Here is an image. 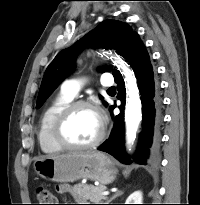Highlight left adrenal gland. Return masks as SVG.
I'll return each instance as SVG.
<instances>
[{"instance_id":"obj_1","label":"left adrenal gland","mask_w":200,"mask_h":205,"mask_svg":"<svg viewBox=\"0 0 200 205\" xmlns=\"http://www.w3.org/2000/svg\"><path fill=\"white\" fill-rule=\"evenodd\" d=\"M123 194V191H121V190H117L114 194H113V196L109 199V200H107V204H109L112 200H114L116 197H118V196H121Z\"/></svg>"}]
</instances>
